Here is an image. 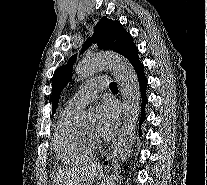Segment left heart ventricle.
<instances>
[{
	"label": "left heart ventricle",
	"mask_w": 207,
	"mask_h": 185,
	"mask_svg": "<svg viewBox=\"0 0 207 185\" xmlns=\"http://www.w3.org/2000/svg\"><path fill=\"white\" fill-rule=\"evenodd\" d=\"M86 132L87 133H92L93 132V129L87 130Z\"/></svg>",
	"instance_id": "left-heart-ventricle-1"
}]
</instances>
